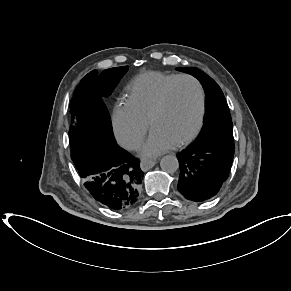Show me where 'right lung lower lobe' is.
<instances>
[{
	"label": "right lung lower lobe",
	"instance_id": "1",
	"mask_svg": "<svg viewBox=\"0 0 291 291\" xmlns=\"http://www.w3.org/2000/svg\"><path fill=\"white\" fill-rule=\"evenodd\" d=\"M72 160L84 186L100 204L124 210L137 202L144 173L139 161L116 142L91 145Z\"/></svg>",
	"mask_w": 291,
	"mask_h": 291
}]
</instances>
